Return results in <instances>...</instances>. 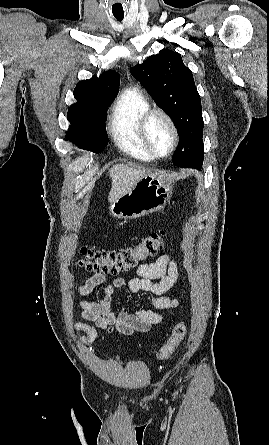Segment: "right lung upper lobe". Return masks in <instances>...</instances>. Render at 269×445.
Segmentation results:
<instances>
[{"instance_id":"1","label":"right lung upper lobe","mask_w":269,"mask_h":445,"mask_svg":"<svg viewBox=\"0 0 269 445\" xmlns=\"http://www.w3.org/2000/svg\"><path fill=\"white\" fill-rule=\"evenodd\" d=\"M120 77L117 72L109 70L100 77L79 82L74 89L77 103L69 110L82 109L96 104H110L118 93Z\"/></svg>"}]
</instances>
